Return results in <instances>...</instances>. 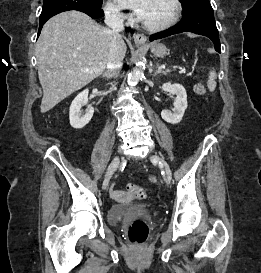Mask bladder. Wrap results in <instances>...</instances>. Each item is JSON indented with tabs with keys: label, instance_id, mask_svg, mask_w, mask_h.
Listing matches in <instances>:
<instances>
[{
	"label": "bladder",
	"instance_id": "bladder-1",
	"mask_svg": "<svg viewBox=\"0 0 261 273\" xmlns=\"http://www.w3.org/2000/svg\"><path fill=\"white\" fill-rule=\"evenodd\" d=\"M151 213L155 212L142 204L137 203H118L113 205L108 212V220L111 224L117 225L120 221L130 214Z\"/></svg>",
	"mask_w": 261,
	"mask_h": 273
}]
</instances>
